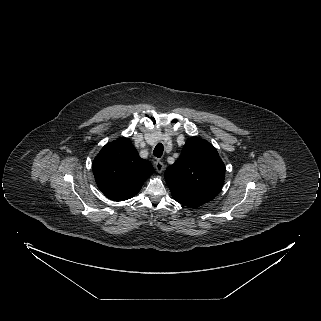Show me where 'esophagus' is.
<instances>
[{
  "label": "esophagus",
  "mask_w": 321,
  "mask_h": 321,
  "mask_svg": "<svg viewBox=\"0 0 321 321\" xmlns=\"http://www.w3.org/2000/svg\"><path fill=\"white\" fill-rule=\"evenodd\" d=\"M155 169H156V171H157L158 173H162L163 170H164V164H163V162H161L160 160H157V161L155 162Z\"/></svg>",
  "instance_id": "34e87169"
}]
</instances>
